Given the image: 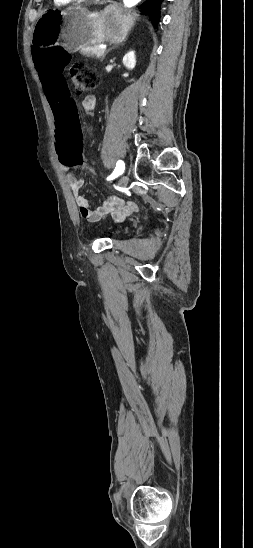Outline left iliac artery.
Here are the masks:
<instances>
[{
	"mask_svg": "<svg viewBox=\"0 0 253 548\" xmlns=\"http://www.w3.org/2000/svg\"><path fill=\"white\" fill-rule=\"evenodd\" d=\"M124 169H125V164L122 160H118L117 161V164H116V167H115V170L113 171V173L107 177V180H112L114 178H116L117 176L121 175L123 172H124Z\"/></svg>",
	"mask_w": 253,
	"mask_h": 548,
	"instance_id": "obj_1",
	"label": "left iliac artery"
}]
</instances>
